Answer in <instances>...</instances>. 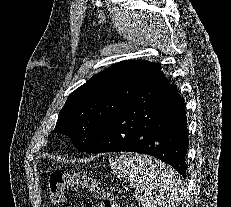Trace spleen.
<instances>
[{"label":"spleen","mask_w":231,"mask_h":207,"mask_svg":"<svg viewBox=\"0 0 231 207\" xmlns=\"http://www.w3.org/2000/svg\"><path fill=\"white\" fill-rule=\"evenodd\" d=\"M113 174L127 178L144 207H176L184 200L182 181L164 163L142 154L123 153L109 160Z\"/></svg>","instance_id":"3e777b00"}]
</instances>
